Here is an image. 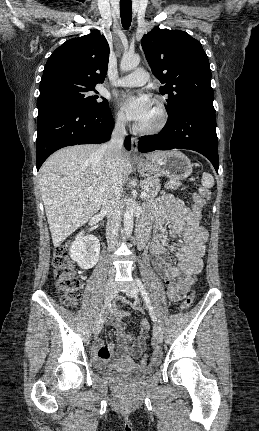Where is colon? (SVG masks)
Wrapping results in <instances>:
<instances>
[{
    "label": "colon",
    "instance_id": "obj_1",
    "mask_svg": "<svg viewBox=\"0 0 259 431\" xmlns=\"http://www.w3.org/2000/svg\"><path fill=\"white\" fill-rule=\"evenodd\" d=\"M210 193L205 188H200L199 192L195 195L194 203L191 208L193 210V217L196 220L202 218V206L205 201L209 198ZM68 246L59 247L53 258L54 267V279L56 288L60 294L61 301L66 306H75L82 295L81 281L77 275L74 266L69 259ZM194 293H189L181 303L182 310H188L193 303ZM141 363L147 365L149 363V357L145 355Z\"/></svg>",
    "mask_w": 259,
    "mask_h": 431
}]
</instances>
